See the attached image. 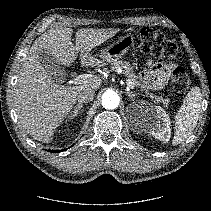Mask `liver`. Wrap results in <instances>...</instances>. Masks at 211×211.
Here are the masks:
<instances>
[{
	"instance_id": "liver-1",
	"label": "liver",
	"mask_w": 211,
	"mask_h": 211,
	"mask_svg": "<svg viewBox=\"0 0 211 211\" xmlns=\"http://www.w3.org/2000/svg\"><path fill=\"white\" fill-rule=\"evenodd\" d=\"M117 29H80L76 32V45L71 42L73 30L55 27L37 38L24 59L13 90V105L23 129L34 139L48 143L55 129L76 103L79 92L86 88L97 90L102 83L98 75L79 83L64 86L55 83L39 61V51L47 49L59 64L70 66L80 52L82 66H100L101 62L90 53L95 47L113 37Z\"/></svg>"
}]
</instances>
